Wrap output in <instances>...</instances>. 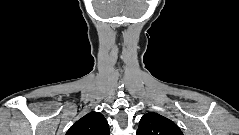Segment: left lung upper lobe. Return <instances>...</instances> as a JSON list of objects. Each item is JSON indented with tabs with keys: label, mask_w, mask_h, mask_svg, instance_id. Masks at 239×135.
<instances>
[{
	"label": "left lung upper lobe",
	"mask_w": 239,
	"mask_h": 135,
	"mask_svg": "<svg viewBox=\"0 0 239 135\" xmlns=\"http://www.w3.org/2000/svg\"><path fill=\"white\" fill-rule=\"evenodd\" d=\"M137 135H183V133L168 118L149 112L141 118Z\"/></svg>",
	"instance_id": "obj_1"
}]
</instances>
